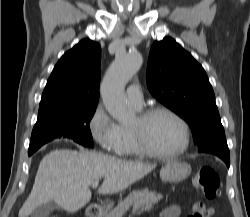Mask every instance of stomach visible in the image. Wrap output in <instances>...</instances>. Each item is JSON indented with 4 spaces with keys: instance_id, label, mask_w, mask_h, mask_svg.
<instances>
[{
    "instance_id": "1",
    "label": "stomach",
    "mask_w": 250,
    "mask_h": 217,
    "mask_svg": "<svg viewBox=\"0 0 250 217\" xmlns=\"http://www.w3.org/2000/svg\"><path fill=\"white\" fill-rule=\"evenodd\" d=\"M191 173V166L181 161H170L160 171V178L164 182L178 183L186 179Z\"/></svg>"
}]
</instances>
